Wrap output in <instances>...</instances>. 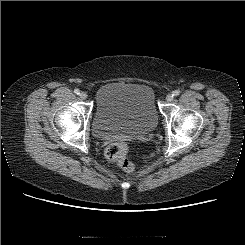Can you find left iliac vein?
<instances>
[{"label": "left iliac vein", "mask_w": 245, "mask_h": 245, "mask_svg": "<svg viewBox=\"0 0 245 245\" xmlns=\"http://www.w3.org/2000/svg\"><path fill=\"white\" fill-rule=\"evenodd\" d=\"M173 99H174V97H173L172 94H168V95L166 96V100H167L168 102H171Z\"/></svg>", "instance_id": "4c4485c4"}]
</instances>
